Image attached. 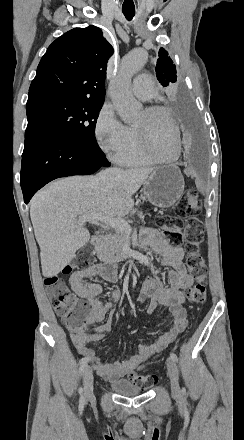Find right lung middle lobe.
Segmentation results:
<instances>
[{
	"label": "right lung middle lobe",
	"mask_w": 244,
	"mask_h": 440,
	"mask_svg": "<svg viewBox=\"0 0 244 440\" xmlns=\"http://www.w3.org/2000/svg\"><path fill=\"white\" fill-rule=\"evenodd\" d=\"M103 99L53 97L28 99V130L45 129L97 146L95 125Z\"/></svg>",
	"instance_id": "1"
}]
</instances>
